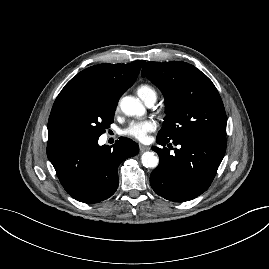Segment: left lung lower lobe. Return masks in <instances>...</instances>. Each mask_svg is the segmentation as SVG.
<instances>
[{
	"instance_id": "1",
	"label": "left lung lower lobe",
	"mask_w": 269,
	"mask_h": 269,
	"mask_svg": "<svg viewBox=\"0 0 269 269\" xmlns=\"http://www.w3.org/2000/svg\"><path fill=\"white\" fill-rule=\"evenodd\" d=\"M171 142L179 147L174 155L166 147H152L160 163L150 175V184L155 193L167 200L189 201L210 186L225 155L227 140L194 135ZM157 143L165 146L168 142L157 139Z\"/></svg>"
}]
</instances>
